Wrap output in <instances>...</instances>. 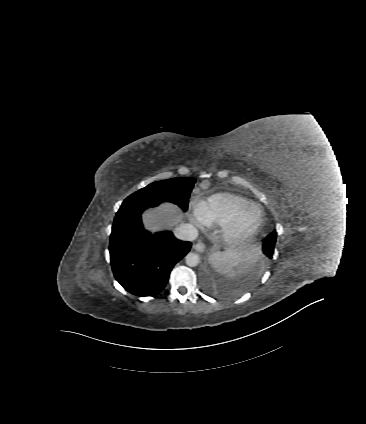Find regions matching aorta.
<instances>
[{
  "mask_svg": "<svg viewBox=\"0 0 366 424\" xmlns=\"http://www.w3.org/2000/svg\"><path fill=\"white\" fill-rule=\"evenodd\" d=\"M185 262L189 267H196L200 262V257L198 254L190 252L186 255Z\"/></svg>",
  "mask_w": 366,
  "mask_h": 424,
  "instance_id": "762f6f07",
  "label": "aorta"
}]
</instances>
